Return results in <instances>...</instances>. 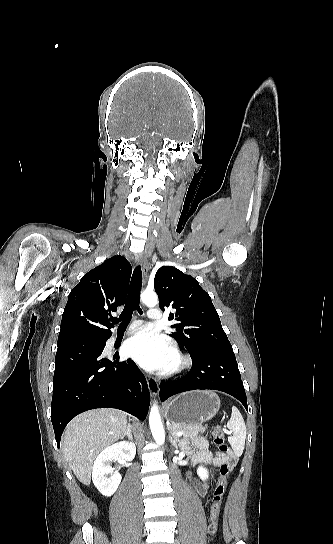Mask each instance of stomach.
Here are the masks:
<instances>
[{
	"label": "stomach",
	"mask_w": 333,
	"mask_h": 544,
	"mask_svg": "<svg viewBox=\"0 0 333 544\" xmlns=\"http://www.w3.org/2000/svg\"><path fill=\"white\" fill-rule=\"evenodd\" d=\"M219 408L220 398L214 392H186L165 406V416L171 423L197 426L213 418Z\"/></svg>",
	"instance_id": "stomach-1"
}]
</instances>
